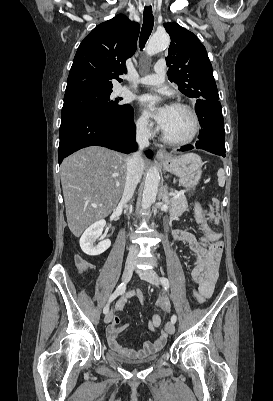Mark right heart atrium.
<instances>
[{
	"label": "right heart atrium",
	"instance_id": "obj_1",
	"mask_svg": "<svg viewBox=\"0 0 273 401\" xmlns=\"http://www.w3.org/2000/svg\"><path fill=\"white\" fill-rule=\"evenodd\" d=\"M135 127L137 133L144 138H150L155 133L153 124L144 116H139L136 119Z\"/></svg>",
	"mask_w": 273,
	"mask_h": 401
}]
</instances>
